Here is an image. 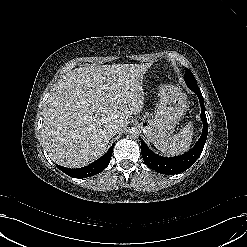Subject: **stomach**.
Masks as SVG:
<instances>
[{
  "label": "stomach",
  "mask_w": 247,
  "mask_h": 247,
  "mask_svg": "<svg viewBox=\"0 0 247 247\" xmlns=\"http://www.w3.org/2000/svg\"><path fill=\"white\" fill-rule=\"evenodd\" d=\"M154 117L144 121L142 129L150 142L167 139L187 111L186 96L172 85H162Z\"/></svg>",
  "instance_id": "1"
}]
</instances>
